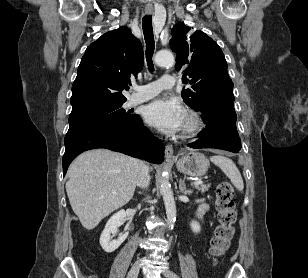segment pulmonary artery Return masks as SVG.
<instances>
[{"instance_id":"e3ab8cb5","label":"pulmonary artery","mask_w":308,"mask_h":278,"mask_svg":"<svg viewBox=\"0 0 308 278\" xmlns=\"http://www.w3.org/2000/svg\"><path fill=\"white\" fill-rule=\"evenodd\" d=\"M174 84V77L172 75L165 74L157 81L136 88V92L131 96L129 102L131 105L145 102L158 95L162 90L172 88Z\"/></svg>"}]
</instances>
